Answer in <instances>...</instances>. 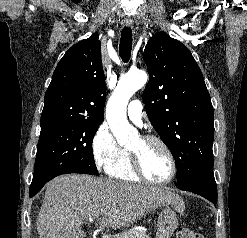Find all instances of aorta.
Listing matches in <instances>:
<instances>
[{"label":"aorta","instance_id":"obj_1","mask_svg":"<svg viewBox=\"0 0 247 238\" xmlns=\"http://www.w3.org/2000/svg\"><path fill=\"white\" fill-rule=\"evenodd\" d=\"M148 80L143 71L128 73L122 77L106 107V118L109 127L120 145H126L137 136L126 116V108L131 96L142 88Z\"/></svg>","mask_w":247,"mask_h":238}]
</instances>
